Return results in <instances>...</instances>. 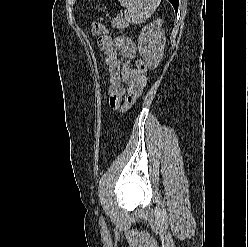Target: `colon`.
I'll list each match as a JSON object with an SVG mask.
<instances>
[{"mask_svg":"<svg viewBox=\"0 0 248 247\" xmlns=\"http://www.w3.org/2000/svg\"><path fill=\"white\" fill-rule=\"evenodd\" d=\"M92 33L94 35H104V34L108 33V29L104 25H102L101 23L94 22L92 24ZM135 66H136V70L139 73V75L142 78H144L146 71H147V67H146L145 62L142 59H138L136 61Z\"/></svg>","mask_w":248,"mask_h":247,"instance_id":"1","label":"colon"}]
</instances>
